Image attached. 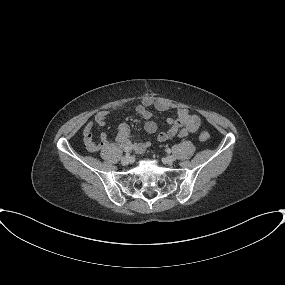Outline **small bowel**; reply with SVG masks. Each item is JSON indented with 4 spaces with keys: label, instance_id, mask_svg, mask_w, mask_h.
<instances>
[{
    "label": "small bowel",
    "instance_id": "small-bowel-1",
    "mask_svg": "<svg viewBox=\"0 0 285 285\" xmlns=\"http://www.w3.org/2000/svg\"><path fill=\"white\" fill-rule=\"evenodd\" d=\"M150 107H154L156 110L164 112L170 109V105L162 100L144 97L136 106V112L146 120L144 126L146 132L154 134L159 131V125L155 121L157 116L149 110ZM109 115V111L101 110L95 115L94 121L85 125L83 137L88 151L97 152L100 149L112 145L106 132L101 133L98 141L94 139L93 135L94 126L104 127ZM166 123L168 124L167 131L158 132L157 134V140L160 142H165L174 137L183 138L190 133H195L200 127V118L189 112L187 109L179 108L176 110V116L174 118H167ZM115 141L117 146L123 147L124 149L127 148L135 153H142L150 147L149 141H140L132 136L130 126L126 123H122L118 126Z\"/></svg>",
    "mask_w": 285,
    "mask_h": 285
}]
</instances>
